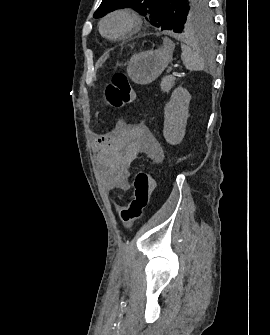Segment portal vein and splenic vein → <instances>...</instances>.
<instances>
[{
  "mask_svg": "<svg viewBox=\"0 0 270 335\" xmlns=\"http://www.w3.org/2000/svg\"><path fill=\"white\" fill-rule=\"evenodd\" d=\"M175 67V66H174ZM172 74V73H171ZM174 74H177V71H174Z\"/></svg>",
  "mask_w": 270,
  "mask_h": 335,
  "instance_id": "1",
  "label": "portal vein and splenic vein"
}]
</instances>
